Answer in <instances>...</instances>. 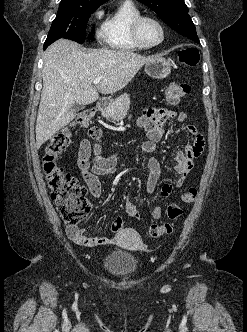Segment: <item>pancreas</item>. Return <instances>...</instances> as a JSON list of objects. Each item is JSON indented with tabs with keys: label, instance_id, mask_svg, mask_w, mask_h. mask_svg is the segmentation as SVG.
I'll return each mask as SVG.
<instances>
[{
	"label": "pancreas",
	"instance_id": "pancreas-1",
	"mask_svg": "<svg viewBox=\"0 0 247 332\" xmlns=\"http://www.w3.org/2000/svg\"><path fill=\"white\" fill-rule=\"evenodd\" d=\"M130 103V96L125 93L118 97L109 108L103 111L102 115L106 119L118 122L126 116L130 108Z\"/></svg>",
	"mask_w": 247,
	"mask_h": 332
}]
</instances>
